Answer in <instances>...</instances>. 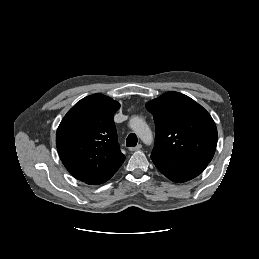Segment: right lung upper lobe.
I'll return each mask as SVG.
<instances>
[{
  "label": "right lung upper lobe",
  "mask_w": 259,
  "mask_h": 259,
  "mask_svg": "<svg viewBox=\"0 0 259 259\" xmlns=\"http://www.w3.org/2000/svg\"><path fill=\"white\" fill-rule=\"evenodd\" d=\"M120 104L93 94L77 102L64 116L56 133V146L65 168L76 179L100 180L122 165L114 114Z\"/></svg>",
  "instance_id": "right-lung-upper-lobe-1"
}]
</instances>
